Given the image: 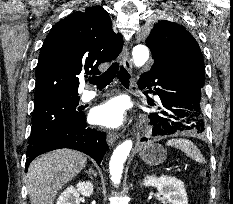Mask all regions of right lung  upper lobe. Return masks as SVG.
Instances as JSON below:
<instances>
[{
  "label": "right lung upper lobe",
  "mask_w": 233,
  "mask_h": 204,
  "mask_svg": "<svg viewBox=\"0 0 233 204\" xmlns=\"http://www.w3.org/2000/svg\"><path fill=\"white\" fill-rule=\"evenodd\" d=\"M122 46V36L113 31L102 7L68 15L51 29L43 43L34 103L51 97L78 96V76L99 72L98 66L115 59Z\"/></svg>",
  "instance_id": "cb5924a9"
}]
</instances>
